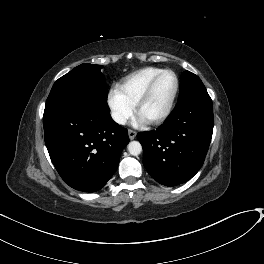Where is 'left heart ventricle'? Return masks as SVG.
I'll return each mask as SVG.
<instances>
[{
    "label": "left heart ventricle",
    "mask_w": 264,
    "mask_h": 264,
    "mask_svg": "<svg viewBox=\"0 0 264 264\" xmlns=\"http://www.w3.org/2000/svg\"><path fill=\"white\" fill-rule=\"evenodd\" d=\"M174 77L167 73L160 77L149 99L141 106L138 114L145 120H151L166 108L174 90Z\"/></svg>",
    "instance_id": "left-heart-ventricle-1"
}]
</instances>
